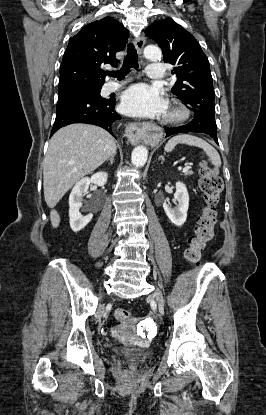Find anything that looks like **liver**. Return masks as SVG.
I'll use <instances>...</instances> for the list:
<instances>
[{
    "instance_id": "obj_1",
    "label": "liver",
    "mask_w": 266,
    "mask_h": 415,
    "mask_svg": "<svg viewBox=\"0 0 266 415\" xmlns=\"http://www.w3.org/2000/svg\"><path fill=\"white\" fill-rule=\"evenodd\" d=\"M116 149L115 139L94 125H68L52 136L43 161V187L54 228L60 223L53 209L56 204L77 181L116 154Z\"/></svg>"
}]
</instances>
